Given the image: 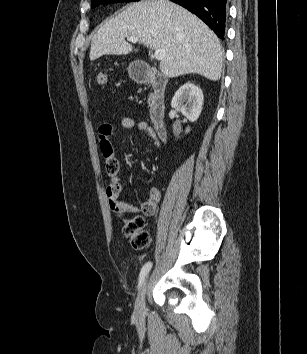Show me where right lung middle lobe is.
<instances>
[{"label":"right lung middle lobe","mask_w":307,"mask_h":354,"mask_svg":"<svg viewBox=\"0 0 307 354\" xmlns=\"http://www.w3.org/2000/svg\"><path fill=\"white\" fill-rule=\"evenodd\" d=\"M133 1H139V0H91V7H96L100 3H116V2H133Z\"/></svg>","instance_id":"1"}]
</instances>
